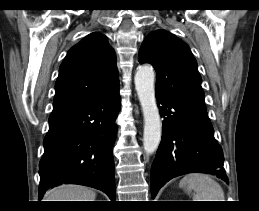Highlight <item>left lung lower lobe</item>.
<instances>
[{"label": "left lung lower lobe", "instance_id": "1", "mask_svg": "<svg viewBox=\"0 0 259 211\" xmlns=\"http://www.w3.org/2000/svg\"><path fill=\"white\" fill-rule=\"evenodd\" d=\"M162 139L151 167V196L170 179L190 172H204L228 178L223 168L221 146L204 103L157 92Z\"/></svg>", "mask_w": 259, "mask_h": 211}]
</instances>
